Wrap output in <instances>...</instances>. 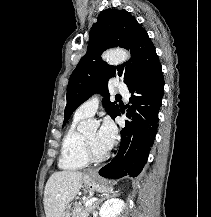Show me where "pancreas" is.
Returning <instances> with one entry per match:
<instances>
[{"label": "pancreas", "instance_id": "cf45deb5", "mask_svg": "<svg viewBox=\"0 0 211 217\" xmlns=\"http://www.w3.org/2000/svg\"><path fill=\"white\" fill-rule=\"evenodd\" d=\"M89 200V198H85L82 201L75 204L73 209V216L72 217H88L90 212L94 209V204H91L90 206L84 208L82 206V203H86Z\"/></svg>", "mask_w": 211, "mask_h": 217}]
</instances>
